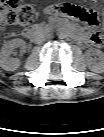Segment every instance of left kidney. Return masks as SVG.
Here are the masks:
<instances>
[{"label": "left kidney", "instance_id": "1", "mask_svg": "<svg viewBox=\"0 0 104 137\" xmlns=\"http://www.w3.org/2000/svg\"><path fill=\"white\" fill-rule=\"evenodd\" d=\"M91 54H96L99 56L100 61L99 62H94L93 59L90 57ZM87 64L88 67L97 73H100L103 71L104 69V62H103V53L100 50H94V49H90L87 53Z\"/></svg>", "mask_w": 104, "mask_h": 137}]
</instances>
